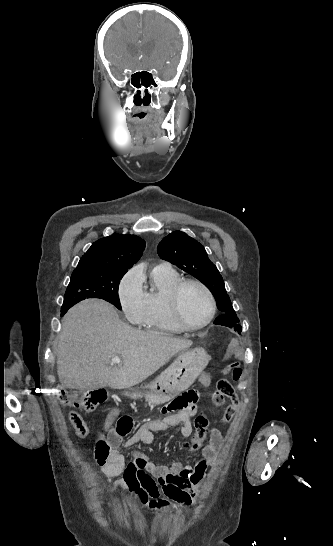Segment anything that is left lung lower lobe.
Masks as SVG:
<instances>
[{
  "mask_svg": "<svg viewBox=\"0 0 333 546\" xmlns=\"http://www.w3.org/2000/svg\"><path fill=\"white\" fill-rule=\"evenodd\" d=\"M239 319L237 317H231L229 315H221L215 321L214 324L223 325L230 328H234L236 331L241 332L242 327L238 324Z\"/></svg>",
  "mask_w": 333,
  "mask_h": 546,
  "instance_id": "obj_1",
  "label": "left lung lower lobe"
}]
</instances>
